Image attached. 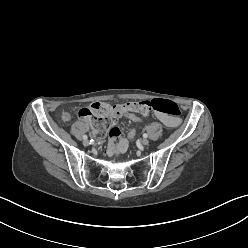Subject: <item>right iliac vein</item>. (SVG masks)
<instances>
[{"label": "right iliac vein", "mask_w": 248, "mask_h": 248, "mask_svg": "<svg viewBox=\"0 0 248 248\" xmlns=\"http://www.w3.org/2000/svg\"><path fill=\"white\" fill-rule=\"evenodd\" d=\"M83 144H84L85 146H88V145H89V141H88L87 139H85V140L83 141Z\"/></svg>", "instance_id": "1"}]
</instances>
